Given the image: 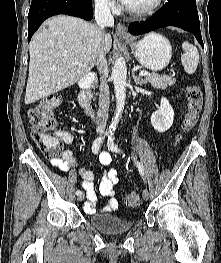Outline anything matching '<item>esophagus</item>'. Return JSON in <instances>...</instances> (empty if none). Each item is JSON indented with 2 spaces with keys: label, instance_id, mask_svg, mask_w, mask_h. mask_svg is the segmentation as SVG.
<instances>
[{
  "label": "esophagus",
  "instance_id": "esophagus-1",
  "mask_svg": "<svg viewBox=\"0 0 221 263\" xmlns=\"http://www.w3.org/2000/svg\"><path fill=\"white\" fill-rule=\"evenodd\" d=\"M116 34L120 38L128 39L130 38V34L127 31V28L124 24L118 23L116 27Z\"/></svg>",
  "mask_w": 221,
  "mask_h": 263
}]
</instances>
